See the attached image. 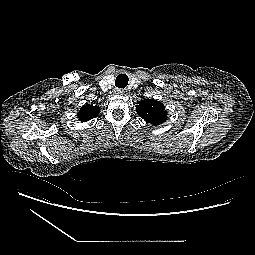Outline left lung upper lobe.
<instances>
[{
    "label": "left lung upper lobe",
    "mask_w": 255,
    "mask_h": 255,
    "mask_svg": "<svg viewBox=\"0 0 255 255\" xmlns=\"http://www.w3.org/2000/svg\"><path fill=\"white\" fill-rule=\"evenodd\" d=\"M136 111L147 123L155 126L167 120L165 106L160 101L154 99L141 100L136 106Z\"/></svg>",
    "instance_id": "left-lung-upper-lobe-1"
}]
</instances>
